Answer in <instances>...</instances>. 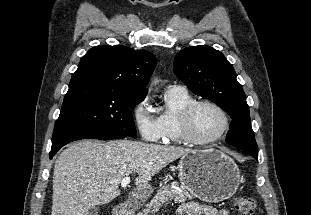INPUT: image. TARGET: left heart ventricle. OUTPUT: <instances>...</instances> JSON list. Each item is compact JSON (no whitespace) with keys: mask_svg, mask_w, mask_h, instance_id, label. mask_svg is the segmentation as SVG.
Listing matches in <instances>:
<instances>
[{"mask_svg":"<svg viewBox=\"0 0 311 215\" xmlns=\"http://www.w3.org/2000/svg\"><path fill=\"white\" fill-rule=\"evenodd\" d=\"M223 126L220 112L212 106L203 105L197 108L193 117V130L200 139L215 136Z\"/></svg>","mask_w":311,"mask_h":215,"instance_id":"b2bd125f","label":"left heart ventricle"}]
</instances>
